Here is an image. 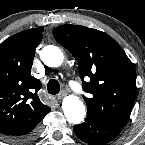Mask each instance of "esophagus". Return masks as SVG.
Segmentation results:
<instances>
[{
	"mask_svg": "<svg viewBox=\"0 0 145 145\" xmlns=\"http://www.w3.org/2000/svg\"><path fill=\"white\" fill-rule=\"evenodd\" d=\"M66 95V92L63 90L57 95V99L61 100Z\"/></svg>",
	"mask_w": 145,
	"mask_h": 145,
	"instance_id": "1",
	"label": "esophagus"
}]
</instances>
